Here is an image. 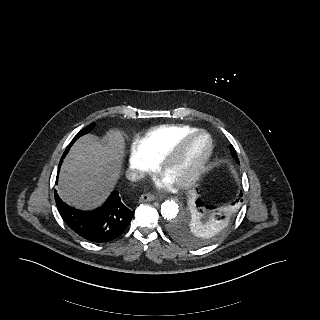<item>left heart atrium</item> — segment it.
<instances>
[{
  "mask_svg": "<svg viewBox=\"0 0 320 320\" xmlns=\"http://www.w3.org/2000/svg\"><path fill=\"white\" fill-rule=\"evenodd\" d=\"M171 184H172V181L169 180V179H165L163 181L158 182V185L161 186V187H165V186H168V185H171Z\"/></svg>",
  "mask_w": 320,
  "mask_h": 320,
  "instance_id": "1",
  "label": "left heart atrium"
}]
</instances>
